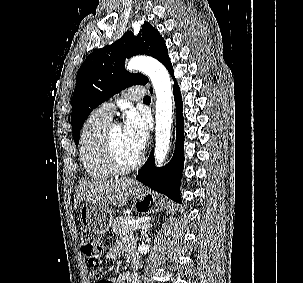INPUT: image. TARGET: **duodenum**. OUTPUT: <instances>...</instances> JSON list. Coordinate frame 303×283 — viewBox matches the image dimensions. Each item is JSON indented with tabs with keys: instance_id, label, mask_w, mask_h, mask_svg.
I'll list each match as a JSON object with an SVG mask.
<instances>
[{
	"instance_id": "duodenum-1",
	"label": "duodenum",
	"mask_w": 303,
	"mask_h": 283,
	"mask_svg": "<svg viewBox=\"0 0 303 283\" xmlns=\"http://www.w3.org/2000/svg\"><path fill=\"white\" fill-rule=\"evenodd\" d=\"M137 270H138V259L133 261V271L131 273L133 276V279H132L131 283H139V280L137 278V276H138Z\"/></svg>"
}]
</instances>
